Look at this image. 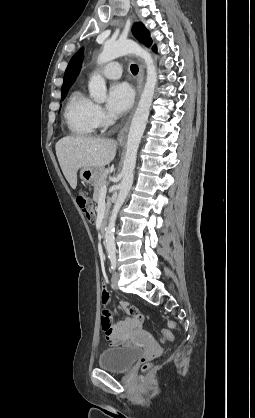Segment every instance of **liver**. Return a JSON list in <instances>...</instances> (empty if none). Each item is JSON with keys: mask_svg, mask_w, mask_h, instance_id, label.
<instances>
[{"mask_svg": "<svg viewBox=\"0 0 255 418\" xmlns=\"http://www.w3.org/2000/svg\"><path fill=\"white\" fill-rule=\"evenodd\" d=\"M114 139L87 136H67L55 146L58 162L72 189L77 187V172L80 168L103 169L116 155Z\"/></svg>", "mask_w": 255, "mask_h": 418, "instance_id": "6515ba94", "label": "liver"}]
</instances>
